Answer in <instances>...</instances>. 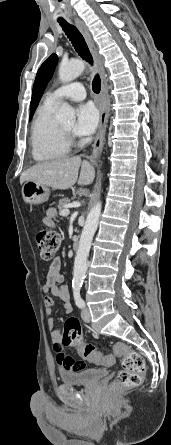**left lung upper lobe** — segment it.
<instances>
[{
    "mask_svg": "<svg viewBox=\"0 0 171 445\" xmlns=\"http://www.w3.org/2000/svg\"><path fill=\"white\" fill-rule=\"evenodd\" d=\"M58 57L56 54H52L39 68L34 86H33V93L30 103V120L33 116V113L42 97V94L51 79L54 68L57 65Z\"/></svg>",
    "mask_w": 171,
    "mask_h": 445,
    "instance_id": "5c2ea615",
    "label": "left lung upper lobe"
}]
</instances>
